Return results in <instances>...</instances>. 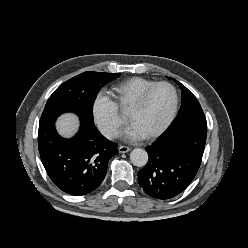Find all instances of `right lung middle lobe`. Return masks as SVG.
I'll return each instance as SVG.
<instances>
[{
    "instance_id": "dd1d6c3e",
    "label": "right lung middle lobe",
    "mask_w": 248,
    "mask_h": 248,
    "mask_svg": "<svg viewBox=\"0 0 248 248\" xmlns=\"http://www.w3.org/2000/svg\"><path fill=\"white\" fill-rule=\"evenodd\" d=\"M120 75L119 73L84 72L64 82L49 97L39 126L56 120L65 112H74L80 118L94 123L93 104L99 90Z\"/></svg>"
}]
</instances>
